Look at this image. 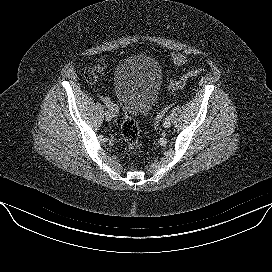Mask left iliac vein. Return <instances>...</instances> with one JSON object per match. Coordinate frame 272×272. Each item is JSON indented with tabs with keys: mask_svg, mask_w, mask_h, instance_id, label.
I'll list each match as a JSON object with an SVG mask.
<instances>
[{
	"mask_svg": "<svg viewBox=\"0 0 272 272\" xmlns=\"http://www.w3.org/2000/svg\"><path fill=\"white\" fill-rule=\"evenodd\" d=\"M163 126L165 128H170V126H171V120L165 118L164 121H163Z\"/></svg>",
	"mask_w": 272,
	"mask_h": 272,
	"instance_id": "left-iliac-vein-1",
	"label": "left iliac vein"
}]
</instances>
